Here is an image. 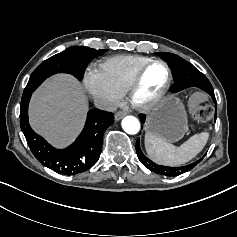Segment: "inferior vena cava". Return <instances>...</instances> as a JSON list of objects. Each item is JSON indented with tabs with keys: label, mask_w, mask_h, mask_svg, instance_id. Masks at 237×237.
<instances>
[{
	"label": "inferior vena cava",
	"mask_w": 237,
	"mask_h": 237,
	"mask_svg": "<svg viewBox=\"0 0 237 237\" xmlns=\"http://www.w3.org/2000/svg\"><path fill=\"white\" fill-rule=\"evenodd\" d=\"M94 104L96 108L101 109V110H106L110 112H114L118 108V104L114 101H110L107 98L103 97H98L94 99Z\"/></svg>",
	"instance_id": "1"
}]
</instances>
